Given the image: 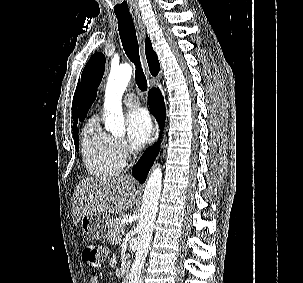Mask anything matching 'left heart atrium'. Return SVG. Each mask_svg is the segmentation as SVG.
Here are the masks:
<instances>
[{"mask_svg": "<svg viewBox=\"0 0 303 283\" xmlns=\"http://www.w3.org/2000/svg\"><path fill=\"white\" fill-rule=\"evenodd\" d=\"M151 133L152 122L146 109H132L127 115V135L130 144L136 148L144 146Z\"/></svg>", "mask_w": 303, "mask_h": 283, "instance_id": "39dd6f15", "label": "left heart atrium"}]
</instances>
